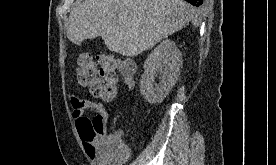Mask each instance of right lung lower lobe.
<instances>
[{"instance_id":"obj_1","label":"right lung lower lobe","mask_w":276,"mask_h":165,"mask_svg":"<svg viewBox=\"0 0 276 165\" xmlns=\"http://www.w3.org/2000/svg\"><path fill=\"white\" fill-rule=\"evenodd\" d=\"M186 1L195 6H199L203 3V0H186Z\"/></svg>"}]
</instances>
